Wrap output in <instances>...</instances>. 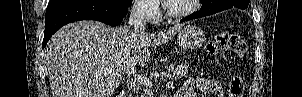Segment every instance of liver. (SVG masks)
I'll list each match as a JSON object with an SVG mask.
<instances>
[{
	"label": "liver",
	"instance_id": "6515ba94",
	"mask_svg": "<svg viewBox=\"0 0 302 97\" xmlns=\"http://www.w3.org/2000/svg\"><path fill=\"white\" fill-rule=\"evenodd\" d=\"M181 29L135 33L97 21L62 27L44 50L53 97H111L125 76L150 61L149 47L167 43ZM107 67H113L111 73L104 72Z\"/></svg>",
	"mask_w": 302,
	"mask_h": 97
}]
</instances>
